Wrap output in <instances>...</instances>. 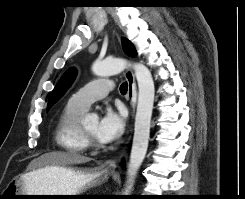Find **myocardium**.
<instances>
[{
    "label": "myocardium",
    "instance_id": "1",
    "mask_svg": "<svg viewBox=\"0 0 245 199\" xmlns=\"http://www.w3.org/2000/svg\"><path fill=\"white\" fill-rule=\"evenodd\" d=\"M80 132L88 148H98L100 146L99 141L88 134L82 124H80Z\"/></svg>",
    "mask_w": 245,
    "mask_h": 199
}]
</instances>
